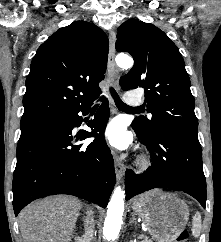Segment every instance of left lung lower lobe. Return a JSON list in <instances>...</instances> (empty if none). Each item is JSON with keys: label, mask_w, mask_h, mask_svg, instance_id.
<instances>
[{"label": "left lung lower lobe", "mask_w": 221, "mask_h": 242, "mask_svg": "<svg viewBox=\"0 0 221 242\" xmlns=\"http://www.w3.org/2000/svg\"><path fill=\"white\" fill-rule=\"evenodd\" d=\"M133 128L150 151L152 164L140 175L127 171L126 200L153 188H168L188 193L205 208L206 180L197 132L162 127L146 135Z\"/></svg>", "instance_id": "1"}]
</instances>
